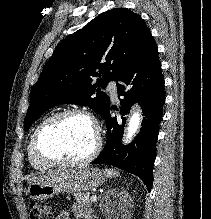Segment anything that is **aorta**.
Masks as SVG:
<instances>
[{"instance_id":"1","label":"aorta","mask_w":211,"mask_h":219,"mask_svg":"<svg viewBox=\"0 0 211 219\" xmlns=\"http://www.w3.org/2000/svg\"><path fill=\"white\" fill-rule=\"evenodd\" d=\"M140 123H141L140 114L138 112H135L129 121V126L127 128V134L125 136L124 142L127 143L132 139V137L135 135V133L139 129Z\"/></svg>"}]
</instances>
